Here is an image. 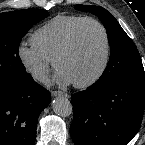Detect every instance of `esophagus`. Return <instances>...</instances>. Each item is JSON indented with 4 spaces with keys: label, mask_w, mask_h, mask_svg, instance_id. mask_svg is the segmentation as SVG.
I'll return each mask as SVG.
<instances>
[{
    "label": "esophagus",
    "mask_w": 145,
    "mask_h": 145,
    "mask_svg": "<svg viewBox=\"0 0 145 145\" xmlns=\"http://www.w3.org/2000/svg\"><path fill=\"white\" fill-rule=\"evenodd\" d=\"M51 95H52L53 97H57V96H65V97H67V96H68L67 93L62 92V91H59V90H54V91H52V92H51Z\"/></svg>",
    "instance_id": "obj_1"
}]
</instances>
